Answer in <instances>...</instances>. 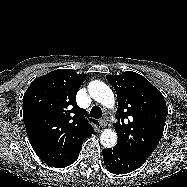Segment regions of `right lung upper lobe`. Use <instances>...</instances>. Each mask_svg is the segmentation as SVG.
Here are the masks:
<instances>
[{
	"label": "right lung upper lobe",
	"mask_w": 187,
	"mask_h": 187,
	"mask_svg": "<svg viewBox=\"0 0 187 187\" xmlns=\"http://www.w3.org/2000/svg\"><path fill=\"white\" fill-rule=\"evenodd\" d=\"M86 77L72 69L54 70L36 78L24 94L23 119L30 143L52 167L68 164L93 132L86 111L75 100Z\"/></svg>",
	"instance_id": "obj_1"
}]
</instances>
